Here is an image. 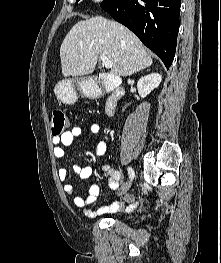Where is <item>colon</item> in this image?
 I'll list each match as a JSON object with an SVG mask.
<instances>
[{
  "label": "colon",
  "mask_w": 221,
  "mask_h": 263,
  "mask_svg": "<svg viewBox=\"0 0 221 263\" xmlns=\"http://www.w3.org/2000/svg\"><path fill=\"white\" fill-rule=\"evenodd\" d=\"M68 126V119L65 113L61 110H55L52 114L50 127L51 134L54 137H59L64 134Z\"/></svg>",
  "instance_id": "colon-1"
}]
</instances>
